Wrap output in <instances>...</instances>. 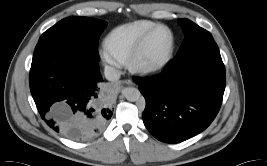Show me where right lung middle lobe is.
I'll use <instances>...</instances> for the list:
<instances>
[{
  "mask_svg": "<svg viewBox=\"0 0 267 166\" xmlns=\"http://www.w3.org/2000/svg\"><path fill=\"white\" fill-rule=\"evenodd\" d=\"M107 23L88 17H68L45 31L39 40L57 39L80 48L99 60L98 39Z\"/></svg>",
  "mask_w": 267,
  "mask_h": 166,
  "instance_id": "dd1d6c3e",
  "label": "right lung middle lobe"
}]
</instances>
